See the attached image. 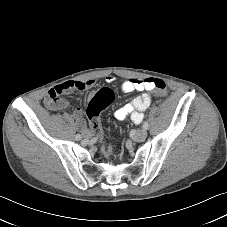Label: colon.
Returning <instances> with one entry per match:
<instances>
[{"mask_svg": "<svg viewBox=\"0 0 227 227\" xmlns=\"http://www.w3.org/2000/svg\"><path fill=\"white\" fill-rule=\"evenodd\" d=\"M81 84H76V87H81ZM153 89L158 94H165L167 91L166 84L161 79H153ZM52 99L57 98L56 93H51ZM114 100V93L109 88H102L96 92L90 99L87 106V115L90 121L91 129L94 135L100 140L103 139V132L99 122L100 113L108 107ZM103 153L105 156L111 155V149L108 144L103 143Z\"/></svg>", "mask_w": 227, "mask_h": 227, "instance_id": "5ec220e1", "label": "colon"}]
</instances>
